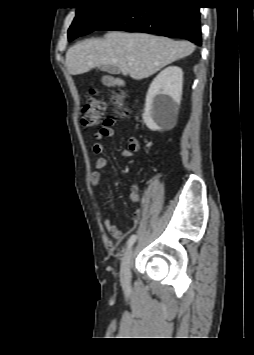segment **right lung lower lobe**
<instances>
[{"label": "right lung lower lobe", "mask_w": 254, "mask_h": 355, "mask_svg": "<svg viewBox=\"0 0 254 355\" xmlns=\"http://www.w3.org/2000/svg\"><path fill=\"white\" fill-rule=\"evenodd\" d=\"M97 30L154 33L201 45L200 13L194 0H131Z\"/></svg>", "instance_id": "98d812e1"}]
</instances>
